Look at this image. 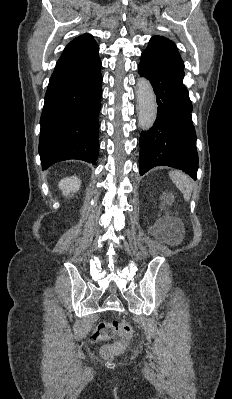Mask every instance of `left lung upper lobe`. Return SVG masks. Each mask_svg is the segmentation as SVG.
Listing matches in <instances>:
<instances>
[{"label":"left lung upper lobe","instance_id":"obj_1","mask_svg":"<svg viewBox=\"0 0 232 399\" xmlns=\"http://www.w3.org/2000/svg\"><path fill=\"white\" fill-rule=\"evenodd\" d=\"M152 39L164 40V41H167V42H169V43H171V44L174 45V43H173L172 41H170L169 39H167V38H165V37H162V36H153V37L151 38V40H152Z\"/></svg>","mask_w":232,"mask_h":399}]
</instances>
